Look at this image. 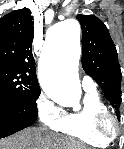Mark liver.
I'll list each match as a JSON object with an SVG mask.
<instances>
[{
	"instance_id": "obj_1",
	"label": "liver",
	"mask_w": 124,
	"mask_h": 149,
	"mask_svg": "<svg viewBox=\"0 0 124 149\" xmlns=\"http://www.w3.org/2000/svg\"><path fill=\"white\" fill-rule=\"evenodd\" d=\"M0 149H87V147L74 139L53 135L44 128H28L0 140Z\"/></svg>"
}]
</instances>
